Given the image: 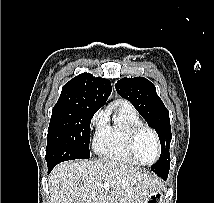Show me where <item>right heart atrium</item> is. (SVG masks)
Instances as JSON below:
<instances>
[{
  "label": "right heart atrium",
  "mask_w": 214,
  "mask_h": 203,
  "mask_svg": "<svg viewBox=\"0 0 214 203\" xmlns=\"http://www.w3.org/2000/svg\"><path fill=\"white\" fill-rule=\"evenodd\" d=\"M106 114L102 110L96 111L90 120L91 127L100 129L105 122Z\"/></svg>",
  "instance_id": "d8ad5b80"
}]
</instances>
